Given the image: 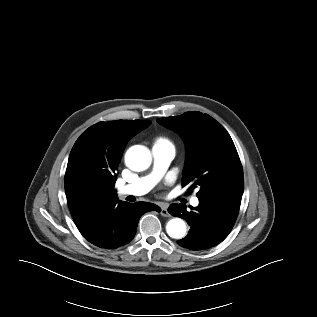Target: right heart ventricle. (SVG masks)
<instances>
[{
  "mask_svg": "<svg viewBox=\"0 0 317 317\" xmlns=\"http://www.w3.org/2000/svg\"><path fill=\"white\" fill-rule=\"evenodd\" d=\"M157 142H164V143H169V141L167 139H164V138H159L157 140ZM170 144V143H169Z\"/></svg>",
  "mask_w": 317,
  "mask_h": 317,
  "instance_id": "right-heart-ventricle-1",
  "label": "right heart ventricle"
}]
</instances>
